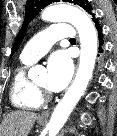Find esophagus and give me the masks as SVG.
Returning <instances> with one entry per match:
<instances>
[{
  "label": "esophagus",
  "mask_w": 117,
  "mask_h": 136,
  "mask_svg": "<svg viewBox=\"0 0 117 136\" xmlns=\"http://www.w3.org/2000/svg\"><path fill=\"white\" fill-rule=\"evenodd\" d=\"M49 115H50V111L48 110V111L43 112L39 117L41 119H46L49 117Z\"/></svg>",
  "instance_id": "esophagus-1"
}]
</instances>
